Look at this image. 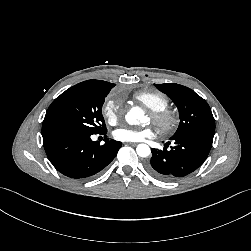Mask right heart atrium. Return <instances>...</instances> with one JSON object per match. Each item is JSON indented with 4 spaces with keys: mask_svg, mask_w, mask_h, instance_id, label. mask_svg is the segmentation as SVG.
Returning a JSON list of instances; mask_svg holds the SVG:
<instances>
[{
    "mask_svg": "<svg viewBox=\"0 0 251 251\" xmlns=\"http://www.w3.org/2000/svg\"><path fill=\"white\" fill-rule=\"evenodd\" d=\"M123 112L121 102L115 99H109L106 101L102 108L104 118L110 124H116Z\"/></svg>",
    "mask_w": 251,
    "mask_h": 251,
    "instance_id": "obj_1",
    "label": "right heart atrium"
}]
</instances>
